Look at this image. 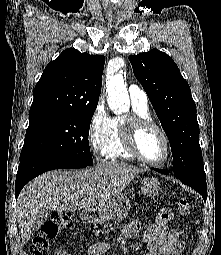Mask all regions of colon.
Here are the masks:
<instances>
[{
    "label": "colon",
    "instance_id": "5ec220e1",
    "mask_svg": "<svg viewBox=\"0 0 221 255\" xmlns=\"http://www.w3.org/2000/svg\"><path fill=\"white\" fill-rule=\"evenodd\" d=\"M178 211L182 215L191 213V205L186 197L179 199ZM172 218V212L168 208L161 210L157 216L152 231L164 232L168 228V224ZM73 225V220L68 213H55L42 226L40 234H38L31 245L32 255H48L49 241L55 238L62 229H69ZM55 255H67L65 250L58 249Z\"/></svg>",
    "mask_w": 221,
    "mask_h": 255
}]
</instances>
